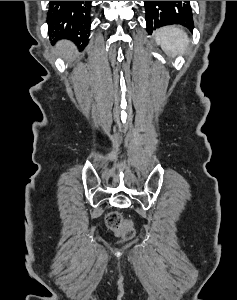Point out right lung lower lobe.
Segmentation results:
<instances>
[{
	"instance_id": "obj_1",
	"label": "right lung lower lobe",
	"mask_w": 237,
	"mask_h": 300,
	"mask_svg": "<svg viewBox=\"0 0 237 300\" xmlns=\"http://www.w3.org/2000/svg\"><path fill=\"white\" fill-rule=\"evenodd\" d=\"M90 8L91 1H50L47 21L52 42L68 39L84 49L90 35Z\"/></svg>"
}]
</instances>
